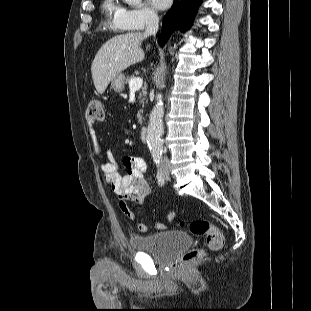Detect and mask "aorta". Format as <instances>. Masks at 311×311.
I'll return each instance as SVG.
<instances>
[{
	"mask_svg": "<svg viewBox=\"0 0 311 311\" xmlns=\"http://www.w3.org/2000/svg\"><path fill=\"white\" fill-rule=\"evenodd\" d=\"M124 1L130 5H139L142 2V0H124ZM163 115H164V107L162 102V94H158L157 102L150 113L146 135L147 144L153 158H160L163 151V140H162V135L164 133V126L162 120Z\"/></svg>",
	"mask_w": 311,
	"mask_h": 311,
	"instance_id": "762f6f07",
	"label": "aorta"
}]
</instances>
